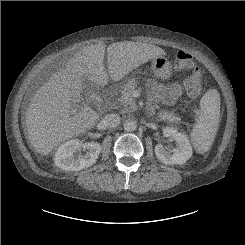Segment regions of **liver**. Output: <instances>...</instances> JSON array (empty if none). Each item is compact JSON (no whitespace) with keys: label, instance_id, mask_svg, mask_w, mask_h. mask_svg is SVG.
<instances>
[{"label":"liver","instance_id":"liver-1","mask_svg":"<svg viewBox=\"0 0 245 245\" xmlns=\"http://www.w3.org/2000/svg\"><path fill=\"white\" fill-rule=\"evenodd\" d=\"M105 52L108 73L103 64ZM165 54L158 46L133 41L112 43L107 50L105 44H93L75 53L65 68L38 89L26 111L28 139L36 152L46 156L99 121V114L86 104L72 113L75 103L82 101L86 82L104 86L109 76L119 81L140 65Z\"/></svg>","mask_w":245,"mask_h":245}]
</instances>
